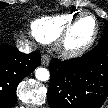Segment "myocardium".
I'll use <instances>...</instances> for the list:
<instances>
[{
  "instance_id": "obj_1",
  "label": "myocardium",
  "mask_w": 108,
  "mask_h": 108,
  "mask_svg": "<svg viewBox=\"0 0 108 108\" xmlns=\"http://www.w3.org/2000/svg\"><path fill=\"white\" fill-rule=\"evenodd\" d=\"M85 18H91L93 20L94 30L92 35L86 42H84L81 45L77 46L70 45L69 41L74 28L81 20ZM98 32H99V24L97 19L89 13H82L76 16L70 23H68V25L62 31V33L59 35L57 39V49L65 57L72 58L80 56L91 48V46L94 44L98 36Z\"/></svg>"
}]
</instances>
